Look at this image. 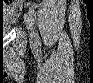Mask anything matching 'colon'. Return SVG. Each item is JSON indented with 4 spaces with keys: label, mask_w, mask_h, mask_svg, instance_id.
Segmentation results:
<instances>
[{
    "label": "colon",
    "mask_w": 93,
    "mask_h": 83,
    "mask_svg": "<svg viewBox=\"0 0 93 83\" xmlns=\"http://www.w3.org/2000/svg\"><path fill=\"white\" fill-rule=\"evenodd\" d=\"M17 3V0L12 1V5L14 6ZM2 10L4 11V8H2ZM14 9H11L10 12H14Z\"/></svg>",
    "instance_id": "colon-1"
}]
</instances>
